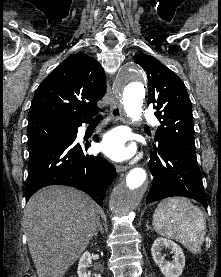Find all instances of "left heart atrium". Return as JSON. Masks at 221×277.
Returning a JSON list of instances; mask_svg holds the SVG:
<instances>
[{"mask_svg": "<svg viewBox=\"0 0 221 277\" xmlns=\"http://www.w3.org/2000/svg\"><path fill=\"white\" fill-rule=\"evenodd\" d=\"M100 147L105 155L115 161L125 160L133 153V147L127 144L126 134L120 129L104 134Z\"/></svg>", "mask_w": 221, "mask_h": 277, "instance_id": "1", "label": "left heart atrium"}]
</instances>
